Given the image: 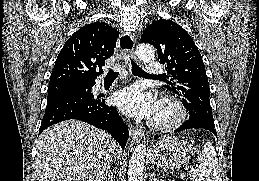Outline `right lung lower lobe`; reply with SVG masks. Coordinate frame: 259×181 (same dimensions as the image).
<instances>
[{"mask_svg": "<svg viewBox=\"0 0 259 181\" xmlns=\"http://www.w3.org/2000/svg\"><path fill=\"white\" fill-rule=\"evenodd\" d=\"M80 84L87 89L72 90L47 101L39 134L53 124L77 119L106 130L124 148L129 133L117 110L107 106L103 97L91 93L95 81Z\"/></svg>", "mask_w": 259, "mask_h": 181, "instance_id": "obj_1", "label": "right lung lower lobe"}]
</instances>
